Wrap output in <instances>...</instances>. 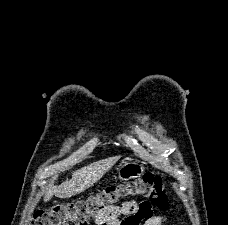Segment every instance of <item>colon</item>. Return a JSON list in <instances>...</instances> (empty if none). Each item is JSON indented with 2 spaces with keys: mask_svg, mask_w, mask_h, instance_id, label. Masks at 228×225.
Masks as SVG:
<instances>
[{
  "mask_svg": "<svg viewBox=\"0 0 228 225\" xmlns=\"http://www.w3.org/2000/svg\"><path fill=\"white\" fill-rule=\"evenodd\" d=\"M141 195L159 209L169 206L163 180L159 176L145 174L130 184L111 185L86 200L39 208L34 214L32 225H90L92 218L105 206L115 208V202L123 197Z\"/></svg>",
  "mask_w": 228,
  "mask_h": 225,
  "instance_id": "1",
  "label": "colon"
}]
</instances>
